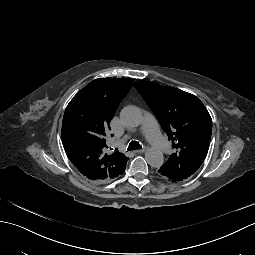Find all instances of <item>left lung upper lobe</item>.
Masks as SVG:
<instances>
[{
  "mask_svg": "<svg viewBox=\"0 0 255 255\" xmlns=\"http://www.w3.org/2000/svg\"><path fill=\"white\" fill-rule=\"evenodd\" d=\"M134 87L166 131L175 152L161 166L165 173L182 181L194 174L207 156L212 119L203 103L182 90L148 81Z\"/></svg>",
  "mask_w": 255,
  "mask_h": 255,
  "instance_id": "1",
  "label": "left lung upper lobe"
}]
</instances>
